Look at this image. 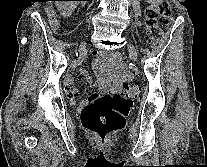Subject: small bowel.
<instances>
[{"label":"small bowel","instance_id":"obj_1","mask_svg":"<svg viewBox=\"0 0 207 167\" xmlns=\"http://www.w3.org/2000/svg\"><path fill=\"white\" fill-rule=\"evenodd\" d=\"M83 75H85L88 84L99 90V92H105L109 88L118 89L120 87V82L129 80L131 78V74L128 69L123 66H112L110 80L108 81L106 78L102 77L99 82H95L94 79L89 76L85 69L80 70ZM73 78L68 76L65 80V91L67 93L69 101L73 104L78 106L79 108L83 109L90 103L94 102L99 94H94L90 96L88 99L78 102L77 96L78 91L72 87Z\"/></svg>","mask_w":207,"mask_h":167}]
</instances>
